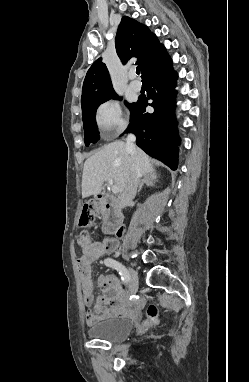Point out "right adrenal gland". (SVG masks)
Returning <instances> with one entry per match:
<instances>
[{
  "mask_svg": "<svg viewBox=\"0 0 249 382\" xmlns=\"http://www.w3.org/2000/svg\"><path fill=\"white\" fill-rule=\"evenodd\" d=\"M156 181H157V175H156L155 171L153 173L145 175L139 184L138 193L141 191L144 183H146L147 185L153 186Z\"/></svg>",
  "mask_w": 249,
  "mask_h": 382,
  "instance_id": "obj_1",
  "label": "right adrenal gland"
}]
</instances>
